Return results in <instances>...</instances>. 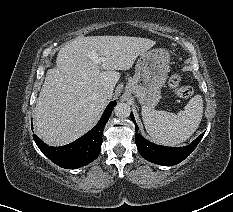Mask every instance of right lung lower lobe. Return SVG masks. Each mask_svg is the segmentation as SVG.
<instances>
[{
  "instance_id": "obj_1",
  "label": "right lung lower lobe",
  "mask_w": 233,
  "mask_h": 212,
  "mask_svg": "<svg viewBox=\"0 0 233 212\" xmlns=\"http://www.w3.org/2000/svg\"><path fill=\"white\" fill-rule=\"evenodd\" d=\"M116 104L115 101L110 102L97 125L88 133L68 145L51 147L33 134L34 141L39 149L53 163L60 167L76 169L85 166L95 160L100 154L104 126Z\"/></svg>"
}]
</instances>
